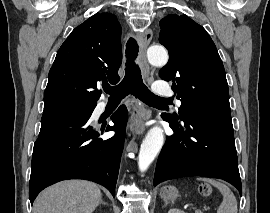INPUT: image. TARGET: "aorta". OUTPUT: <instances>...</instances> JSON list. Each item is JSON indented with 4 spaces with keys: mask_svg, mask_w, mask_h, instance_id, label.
Instances as JSON below:
<instances>
[{
    "mask_svg": "<svg viewBox=\"0 0 270 213\" xmlns=\"http://www.w3.org/2000/svg\"><path fill=\"white\" fill-rule=\"evenodd\" d=\"M148 61L155 66H164L168 62V53L162 46H152L147 51ZM164 143L163 129L159 126L151 128L141 144L138 166L145 172L161 150Z\"/></svg>",
    "mask_w": 270,
    "mask_h": 213,
    "instance_id": "obj_1",
    "label": "aorta"
}]
</instances>
